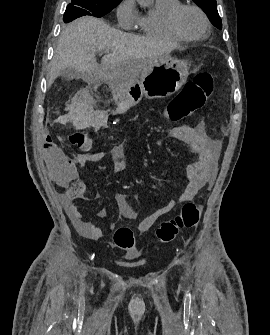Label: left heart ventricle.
<instances>
[{
    "label": "left heart ventricle",
    "instance_id": "obj_1",
    "mask_svg": "<svg viewBox=\"0 0 270 335\" xmlns=\"http://www.w3.org/2000/svg\"><path fill=\"white\" fill-rule=\"evenodd\" d=\"M181 29L191 37H199L205 33V24L198 12L185 9L179 18Z\"/></svg>",
    "mask_w": 270,
    "mask_h": 335
}]
</instances>
